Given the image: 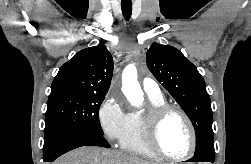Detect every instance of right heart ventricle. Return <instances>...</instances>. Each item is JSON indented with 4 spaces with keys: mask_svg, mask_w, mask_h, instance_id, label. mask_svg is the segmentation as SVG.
<instances>
[{
    "mask_svg": "<svg viewBox=\"0 0 251 164\" xmlns=\"http://www.w3.org/2000/svg\"><path fill=\"white\" fill-rule=\"evenodd\" d=\"M150 106L165 104L162 96H149ZM120 147L124 151L149 159L159 158L149 147L146 135L143 115L139 112H131L128 117V124L124 135L120 140Z\"/></svg>",
    "mask_w": 251,
    "mask_h": 164,
    "instance_id": "right-heart-ventricle-1",
    "label": "right heart ventricle"
}]
</instances>
